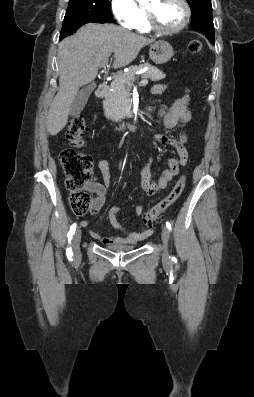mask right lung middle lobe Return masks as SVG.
<instances>
[{"mask_svg": "<svg viewBox=\"0 0 254 397\" xmlns=\"http://www.w3.org/2000/svg\"><path fill=\"white\" fill-rule=\"evenodd\" d=\"M84 17L93 20H110L109 0H69L64 18Z\"/></svg>", "mask_w": 254, "mask_h": 397, "instance_id": "right-lung-middle-lobe-1", "label": "right lung middle lobe"}]
</instances>
